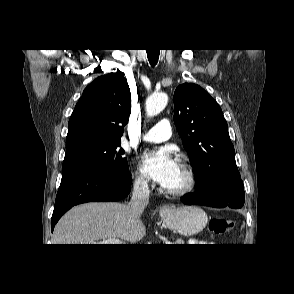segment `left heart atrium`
Listing matches in <instances>:
<instances>
[{"mask_svg":"<svg viewBox=\"0 0 294 294\" xmlns=\"http://www.w3.org/2000/svg\"><path fill=\"white\" fill-rule=\"evenodd\" d=\"M177 165L167 149L147 152L141 157L143 173L162 186H166L170 181Z\"/></svg>","mask_w":294,"mask_h":294,"instance_id":"1","label":"left heart atrium"}]
</instances>
